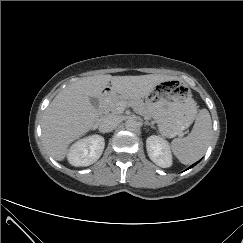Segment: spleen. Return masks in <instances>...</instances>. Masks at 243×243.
Segmentation results:
<instances>
[{
    "instance_id": "obj_1",
    "label": "spleen",
    "mask_w": 243,
    "mask_h": 243,
    "mask_svg": "<svg viewBox=\"0 0 243 243\" xmlns=\"http://www.w3.org/2000/svg\"><path fill=\"white\" fill-rule=\"evenodd\" d=\"M211 134V116L207 109H202L196 115L195 124L190 134L172 141V152L182 164H192L204 156Z\"/></svg>"
}]
</instances>
